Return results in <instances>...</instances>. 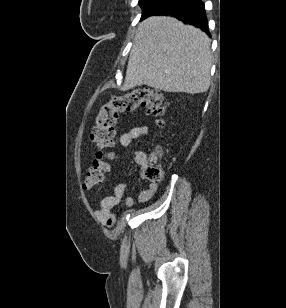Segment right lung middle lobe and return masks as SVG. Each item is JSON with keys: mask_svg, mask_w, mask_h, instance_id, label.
<instances>
[{"mask_svg": "<svg viewBox=\"0 0 286 308\" xmlns=\"http://www.w3.org/2000/svg\"><path fill=\"white\" fill-rule=\"evenodd\" d=\"M171 0H139V4L143 9L142 18L146 15L162 8ZM141 18V19H142Z\"/></svg>", "mask_w": 286, "mask_h": 308, "instance_id": "right-lung-middle-lobe-1", "label": "right lung middle lobe"}]
</instances>
